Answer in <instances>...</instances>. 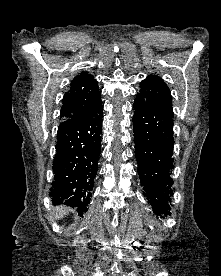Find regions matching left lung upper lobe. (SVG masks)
Returning a JSON list of instances; mask_svg holds the SVG:
<instances>
[{"instance_id":"left-lung-upper-lobe-1","label":"left lung upper lobe","mask_w":221,"mask_h":276,"mask_svg":"<svg viewBox=\"0 0 221 276\" xmlns=\"http://www.w3.org/2000/svg\"><path fill=\"white\" fill-rule=\"evenodd\" d=\"M138 94L143 96L152 107L173 116L170 90L158 76L150 75L140 84Z\"/></svg>"}]
</instances>
